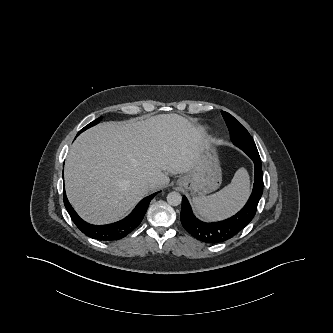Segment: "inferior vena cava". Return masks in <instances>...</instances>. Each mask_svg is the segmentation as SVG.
Wrapping results in <instances>:
<instances>
[{"label": "inferior vena cava", "instance_id": "inferior-vena-cava-1", "mask_svg": "<svg viewBox=\"0 0 333 333\" xmlns=\"http://www.w3.org/2000/svg\"><path fill=\"white\" fill-rule=\"evenodd\" d=\"M155 183H156L155 180H153V179L149 180V184H150V185H154Z\"/></svg>", "mask_w": 333, "mask_h": 333}]
</instances>
